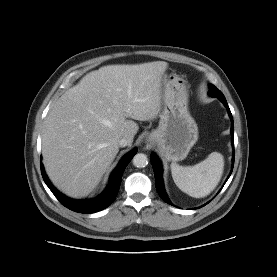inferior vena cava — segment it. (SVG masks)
<instances>
[{"instance_id": "1", "label": "inferior vena cava", "mask_w": 277, "mask_h": 277, "mask_svg": "<svg viewBox=\"0 0 277 277\" xmlns=\"http://www.w3.org/2000/svg\"><path fill=\"white\" fill-rule=\"evenodd\" d=\"M129 144H130V141L127 138H125V137H123V138L118 140V145L120 147H125V146H127Z\"/></svg>"}]
</instances>
